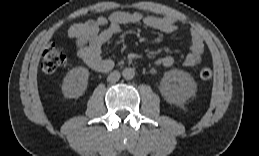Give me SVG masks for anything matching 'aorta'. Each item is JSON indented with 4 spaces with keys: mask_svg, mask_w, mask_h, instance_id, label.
Here are the masks:
<instances>
[{
    "mask_svg": "<svg viewBox=\"0 0 259 156\" xmlns=\"http://www.w3.org/2000/svg\"><path fill=\"white\" fill-rule=\"evenodd\" d=\"M123 78L126 80H131L135 76V70L133 68H125L122 71Z\"/></svg>",
    "mask_w": 259,
    "mask_h": 156,
    "instance_id": "1",
    "label": "aorta"
}]
</instances>
